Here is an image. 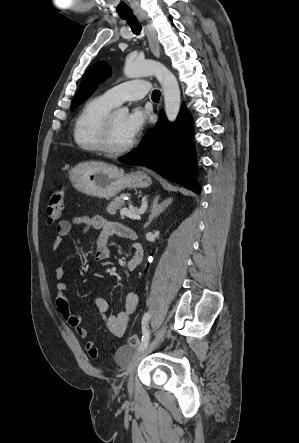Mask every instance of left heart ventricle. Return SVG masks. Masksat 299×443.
<instances>
[{
  "label": "left heart ventricle",
  "mask_w": 299,
  "mask_h": 443,
  "mask_svg": "<svg viewBox=\"0 0 299 443\" xmlns=\"http://www.w3.org/2000/svg\"><path fill=\"white\" fill-rule=\"evenodd\" d=\"M126 115L121 112H114L112 144L116 148L123 147L133 140L124 128Z\"/></svg>",
  "instance_id": "b2bd125f"
}]
</instances>
